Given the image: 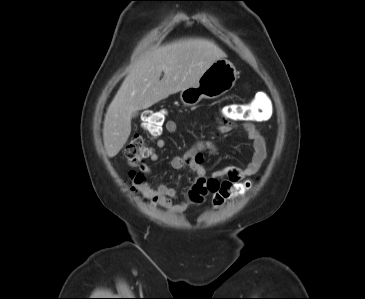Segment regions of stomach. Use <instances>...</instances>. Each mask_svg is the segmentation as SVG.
<instances>
[{"instance_id":"1","label":"stomach","mask_w":365,"mask_h":299,"mask_svg":"<svg viewBox=\"0 0 365 299\" xmlns=\"http://www.w3.org/2000/svg\"><path fill=\"white\" fill-rule=\"evenodd\" d=\"M237 79L235 66L225 58L218 59L195 85L181 91L180 99L185 106H195L202 99H216L231 90Z\"/></svg>"}]
</instances>
